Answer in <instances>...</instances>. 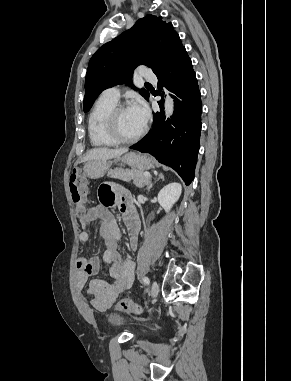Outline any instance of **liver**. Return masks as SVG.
<instances>
[{
    "label": "liver",
    "mask_w": 291,
    "mask_h": 381,
    "mask_svg": "<svg viewBox=\"0 0 291 381\" xmlns=\"http://www.w3.org/2000/svg\"><path fill=\"white\" fill-rule=\"evenodd\" d=\"M128 149H109V148H94L90 150L82 159V162H89L92 160H109L118 158L122 154L126 153Z\"/></svg>",
    "instance_id": "1"
}]
</instances>
